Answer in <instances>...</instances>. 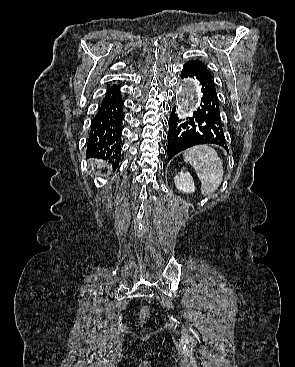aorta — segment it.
Returning <instances> with one entry per match:
<instances>
[{"label":"aorta","mask_w":295,"mask_h":367,"mask_svg":"<svg viewBox=\"0 0 295 367\" xmlns=\"http://www.w3.org/2000/svg\"><path fill=\"white\" fill-rule=\"evenodd\" d=\"M178 95L180 96L178 109L193 110L200 102L201 91L196 81L188 80L180 86Z\"/></svg>","instance_id":"aorta-1"}]
</instances>
